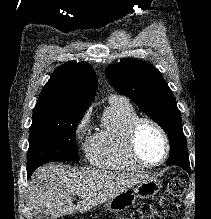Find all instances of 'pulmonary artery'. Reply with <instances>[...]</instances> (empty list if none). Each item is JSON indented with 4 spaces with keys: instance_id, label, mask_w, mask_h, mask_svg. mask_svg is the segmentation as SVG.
Returning a JSON list of instances; mask_svg holds the SVG:
<instances>
[{
    "instance_id": "1",
    "label": "pulmonary artery",
    "mask_w": 211,
    "mask_h": 219,
    "mask_svg": "<svg viewBox=\"0 0 211 219\" xmlns=\"http://www.w3.org/2000/svg\"><path fill=\"white\" fill-rule=\"evenodd\" d=\"M114 98H117V97H116V96H112V97L110 98V100H111V99H114Z\"/></svg>"
}]
</instances>
